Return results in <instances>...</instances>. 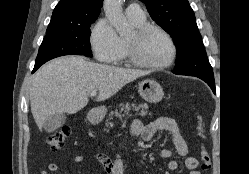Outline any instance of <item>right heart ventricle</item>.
I'll return each instance as SVG.
<instances>
[{
    "mask_svg": "<svg viewBox=\"0 0 249 174\" xmlns=\"http://www.w3.org/2000/svg\"><path fill=\"white\" fill-rule=\"evenodd\" d=\"M132 26L134 28H137V27H140L144 24L147 23L146 21V17L143 16V17H131V16H128ZM121 39V42H122V47H123V53L121 55V57L115 62V63H121L125 57H126V50H125V42H126V38H120Z\"/></svg>",
    "mask_w": 249,
    "mask_h": 174,
    "instance_id": "obj_1",
    "label": "right heart ventricle"
}]
</instances>
